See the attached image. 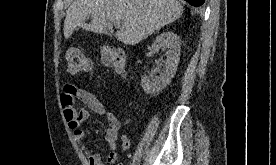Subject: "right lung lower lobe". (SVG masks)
I'll use <instances>...</instances> for the list:
<instances>
[{
    "label": "right lung lower lobe",
    "mask_w": 276,
    "mask_h": 165,
    "mask_svg": "<svg viewBox=\"0 0 276 165\" xmlns=\"http://www.w3.org/2000/svg\"><path fill=\"white\" fill-rule=\"evenodd\" d=\"M185 1H187L192 6L198 7V6H201L205 0H185Z\"/></svg>",
    "instance_id": "1"
}]
</instances>
